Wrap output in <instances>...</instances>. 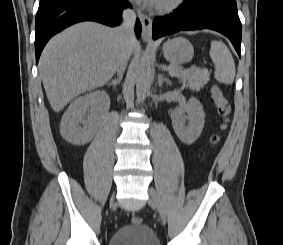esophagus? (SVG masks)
Here are the masks:
<instances>
[{"label":"esophagus","mask_w":283,"mask_h":245,"mask_svg":"<svg viewBox=\"0 0 283 245\" xmlns=\"http://www.w3.org/2000/svg\"><path fill=\"white\" fill-rule=\"evenodd\" d=\"M138 17L140 19L141 25H142V38L145 41H151L152 40V20L151 18L141 12L140 10L137 11Z\"/></svg>","instance_id":"34e87169"}]
</instances>
